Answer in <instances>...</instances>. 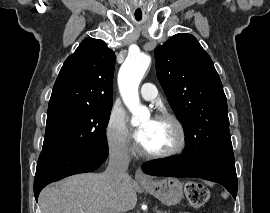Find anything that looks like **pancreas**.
I'll use <instances>...</instances> for the list:
<instances>
[{"label": "pancreas", "mask_w": 270, "mask_h": 213, "mask_svg": "<svg viewBox=\"0 0 270 213\" xmlns=\"http://www.w3.org/2000/svg\"><path fill=\"white\" fill-rule=\"evenodd\" d=\"M157 213H170V212H167V211H165V212H160V211H158Z\"/></svg>", "instance_id": "1"}]
</instances>
